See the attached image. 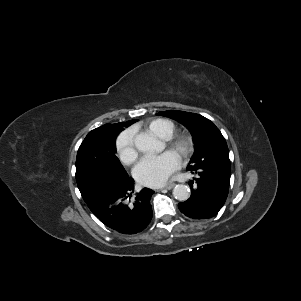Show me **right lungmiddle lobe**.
<instances>
[{
	"instance_id": "dd1d6c3e",
	"label": "right lung middle lobe",
	"mask_w": 301,
	"mask_h": 301,
	"mask_svg": "<svg viewBox=\"0 0 301 301\" xmlns=\"http://www.w3.org/2000/svg\"><path fill=\"white\" fill-rule=\"evenodd\" d=\"M117 135L93 130L78 149L76 180L85 202L92 197L93 187L104 178L128 177L115 155Z\"/></svg>"
}]
</instances>
